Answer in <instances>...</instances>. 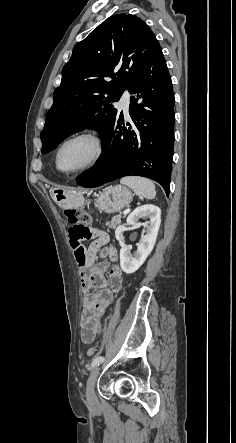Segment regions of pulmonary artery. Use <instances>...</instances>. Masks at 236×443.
I'll list each match as a JSON object with an SVG mask.
<instances>
[{
  "instance_id": "1",
  "label": "pulmonary artery",
  "mask_w": 236,
  "mask_h": 443,
  "mask_svg": "<svg viewBox=\"0 0 236 443\" xmlns=\"http://www.w3.org/2000/svg\"><path fill=\"white\" fill-rule=\"evenodd\" d=\"M129 104H130V94L124 93L118 103V107L123 110L124 114L128 116V110H129Z\"/></svg>"
}]
</instances>
